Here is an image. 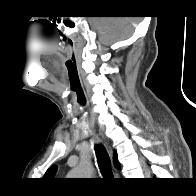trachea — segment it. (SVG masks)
<instances>
[{
  "instance_id": "trachea-1",
  "label": "trachea",
  "mask_w": 196,
  "mask_h": 196,
  "mask_svg": "<svg viewBox=\"0 0 196 196\" xmlns=\"http://www.w3.org/2000/svg\"><path fill=\"white\" fill-rule=\"evenodd\" d=\"M95 152L102 175L104 176L105 179H110V180L113 179L111 162L105 147L101 144H96Z\"/></svg>"
}]
</instances>
